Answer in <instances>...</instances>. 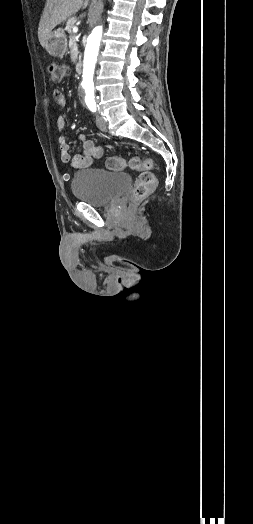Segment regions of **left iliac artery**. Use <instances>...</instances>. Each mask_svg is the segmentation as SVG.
I'll use <instances>...</instances> for the list:
<instances>
[{
  "instance_id": "obj_1",
  "label": "left iliac artery",
  "mask_w": 253,
  "mask_h": 524,
  "mask_svg": "<svg viewBox=\"0 0 253 524\" xmlns=\"http://www.w3.org/2000/svg\"><path fill=\"white\" fill-rule=\"evenodd\" d=\"M88 108L92 111V112H95L96 111V103L95 102H89L87 104Z\"/></svg>"
}]
</instances>
